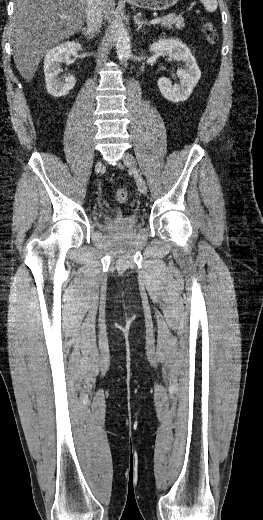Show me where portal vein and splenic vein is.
<instances>
[{
  "mask_svg": "<svg viewBox=\"0 0 263 520\" xmlns=\"http://www.w3.org/2000/svg\"><path fill=\"white\" fill-rule=\"evenodd\" d=\"M62 18L65 19V18H67V17H66V16H62ZM159 22H160V18H156V19H152V20H151V23H152V24H157V23H159Z\"/></svg>",
  "mask_w": 263,
  "mask_h": 520,
  "instance_id": "portal-vein-and-splenic-vein-1",
  "label": "portal vein and splenic vein"
}]
</instances>
